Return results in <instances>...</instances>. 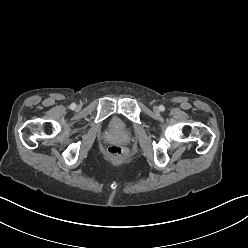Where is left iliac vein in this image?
<instances>
[{
	"label": "left iliac vein",
	"instance_id": "left-iliac-vein-1",
	"mask_svg": "<svg viewBox=\"0 0 248 248\" xmlns=\"http://www.w3.org/2000/svg\"><path fill=\"white\" fill-rule=\"evenodd\" d=\"M153 109H154L155 112H159L160 111V109H159L158 106H155Z\"/></svg>",
	"mask_w": 248,
	"mask_h": 248
}]
</instances>
